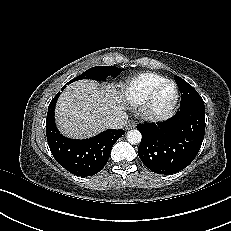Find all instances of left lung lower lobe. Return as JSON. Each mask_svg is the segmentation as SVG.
<instances>
[{
  "mask_svg": "<svg viewBox=\"0 0 231 231\" xmlns=\"http://www.w3.org/2000/svg\"><path fill=\"white\" fill-rule=\"evenodd\" d=\"M142 134L138 155L157 174L170 175L187 167L201 148L205 134L204 102L180 104L175 116L160 123L138 124Z\"/></svg>",
  "mask_w": 231,
  "mask_h": 231,
  "instance_id": "obj_1",
  "label": "left lung lower lobe"
}]
</instances>
